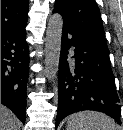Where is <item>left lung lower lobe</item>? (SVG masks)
<instances>
[{
  "label": "left lung lower lobe",
  "mask_w": 123,
  "mask_h": 130,
  "mask_svg": "<svg viewBox=\"0 0 123 130\" xmlns=\"http://www.w3.org/2000/svg\"><path fill=\"white\" fill-rule=\"evenodd\" d=\"M71 47H75L74 62L67 60ZM83 110L104 112L121 124L120 100L110 67L108 47L78 36L64 24L56 127L64 117Z\"/></svg>",
  "instance_id": "0a47b994"
}]
</instances>
